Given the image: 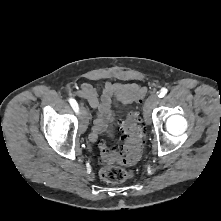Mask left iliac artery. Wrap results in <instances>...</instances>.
Here are the masks:
<instances>
[{
	"mask_svg": "<svg viewBox=\"0 0 221 221\" xmlns=\"http://www.w3.org/2000/svg\"><path fill=\"white\" fill-rule=\"evenodd\" d=\"M167 92H168L167 88L163 87V88L160 90L158 96H159L160 98H162V97H164V96L167 94Z\"/></svg>",
	"mask_w": 221,
	"mask_h": 221,
	"instance_id": "obj_1",
	"label": "left iliac artery"
}]
</instances>
